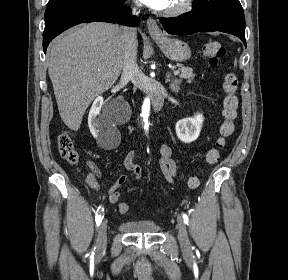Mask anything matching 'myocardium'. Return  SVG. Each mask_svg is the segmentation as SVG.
I'll return each instance as SVG.
<instances>
[{"instance_id":"myocardium-1","label":"myocardium","mask_w":288,"mask_h":280,"mask_svg":"<svg viewBox=\"0 0 288 280\" xmlns=\"http://www.w3.org/2000/svg\"><path fill=\"white\" fill-rule=\"evenodd\" d=\"M195 0H182L177 6L167 9L164 12L165 16L168 17H178L188 13L194 4Z\"/></svg>"}]
</instances>
